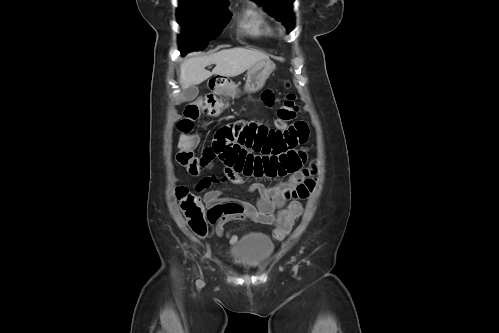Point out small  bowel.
<instances>
[{"mask_svg":"<svg viewBox=\"0 0 499 333\" xmlns=\"http://www.w3.org/2000/svg\"><path fill=\"white\" fill-rule=\"evenodd\" d=\"M263 99L267 105L273 104L272 93L265 92ZM308 137V124L302 120L277 129L240 121L225 125L216 132L212 144L203 150L200 163L201 168H205L218 158L223 164V174L204 177L196 189L207 190L203 200L219 238L235 245L239 239L224 229L226 223L249 219L263 225H274L276 211L281 210L287 200L306 199L310 195L315 186L316 168L306 166L308 153L303 144ZM245 176H287L288 180L273 185L252 184L249 190L257 195L255 204L227 198L220 190L212 189L225 182L241 184Z\"/></svg>","mask_w":499,"mask_h":333,"instance_id":"1","label":"small bowel"}]
</instances>
